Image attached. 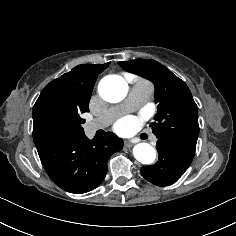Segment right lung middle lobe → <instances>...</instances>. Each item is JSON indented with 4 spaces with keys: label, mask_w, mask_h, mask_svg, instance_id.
<instances>
[{
    "label": "right lung middle lobe",
    "mask_w": 236,
    "mask_h": 236,
    "mask_svg": "<svg viewBox=\"0 0 236 236\" xmlns=\"http://www.w3.org/2000/svg\"><path fill=\"white\" fill-rule=\"evenodd\" d=\"M88 111V107L72 110L45 109L37 121L33 122L35 145L57 138L83 134L84 130L81 125L85 123V119L81 117V114Z\"/></svg>",
    "instance_id": "obj_1"
}]
</instances>
